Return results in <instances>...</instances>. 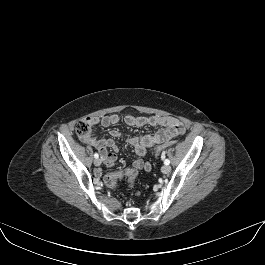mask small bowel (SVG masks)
Masks as SVG:
<instances>
[{"instance_id": "1", "label": "small bowel", "mask_w": 265, "mask_h": 265, "mask_svg": "<svg viewBox=\"0 0 265 265\" xmlns=\"http://www.w3.org/2000/svg\"><path fill=\"white\" fill-rule=\"evenodd\" d=\"M91 126L101 125L102 127H109L115 125L119 121V117L116 114L106 115L103 117H91L87 119ZM125 123L129 126L143 127L146 125L160 127V129L154 134H147L141 137L131 136L127 139L128 143L133 146L135 152L139 156H144L149 150L162 143L169 142L172 138L182 135L184 133V127L177 119L167 116H133L127 115L125 117ZM111 138L98 139L91 137L83 139L84 142L92 145L100 151L104 163L107 166H112L116 161L115 152L118 150V146L115 139L122 136L118 130L110 131ZM110 149L111 151H108ZM133 168L136 170L150 171L151 164L148 161L138 159L133 162ZM96 175L100 176L101 171H96Z\"/></svg>"}]
</instances>
